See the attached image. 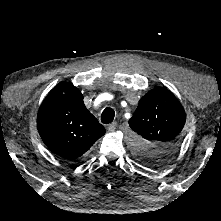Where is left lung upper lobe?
I'll return each instance as SVG.
<instances>
[{"instance_id":"1","label":"left lung upper lobe","mask_w":221,"mask_h":221,"mask_svg":"<svg viewBox=\"0 0 221 221\" xmlns=\"http://www.w3.org/2000/svg\"><path fill=\"white\" fill-rule=\"evenodd\" d=\"M185 120L182 105L168 89L155 87L145 94L129 120L136 158L155 168L166 164L179 148Z\"/></svg>"}]
</instances>
